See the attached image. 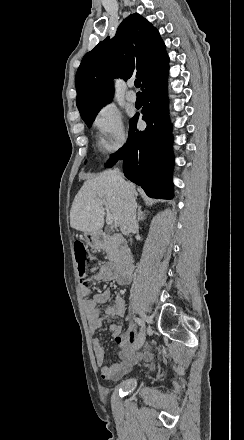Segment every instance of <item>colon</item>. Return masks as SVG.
<instances>
[{
	"label": "colon",
	"instance_id": "1",
	"mask_svg": "<svg viewBox=\"0 0 244 440\" xmlns=\"http://www.w3.org/2000/svg\"><path fill=\"white\" fill-rule=\"evenodd\" d=\"M73 251L76 257L79 278L81 281L88 282L92 271L98 272L100 262L95 256L88 253L82 242H75Z\"/></svg>",
	"mask_w": 244,
	"mask_h": 440
}]
</instances>
